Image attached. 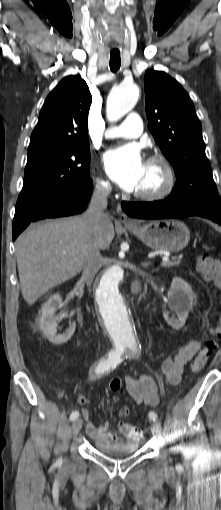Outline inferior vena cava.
<instances>
[{"label": "inferior vena cava", "mask_w": 221, "mask_h": 510, "mask_svg": "<svg viewBox=\"0 0 221 510\" xmlns=\"http://www.w3.org/2000/svg\"><path fill=\"white\" fill-rule=\"evenodd\" d=\"M111 191L109 185L98 186L92 196L84 214L88 230L87 244L83 251L82 277L90 286L96 273L102 265V256L99 251L98 237L108 226L109 218L104 212L107 208V196Z\"/></svg>", "instance_id": "inferior-vena-cava-1"}]
</instances>
